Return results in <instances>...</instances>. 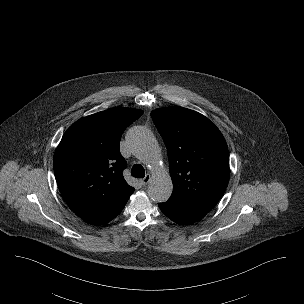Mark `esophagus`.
<instances>
[{"label":"esophagus","mask_w":304,"mask_h":304,"mask_svg":"<svg viewBox=\"0 0 304 304\" xmlns=\"http://www.w3.org/2000/svg\"><path fill=\"white\" fill-rule=\"evenodd\" d=\"M150 180H151V175L146 174L145 177L141 180V184L145 186L149 183Z\"/></svg>","instance_id":"1"}]
</instances>
